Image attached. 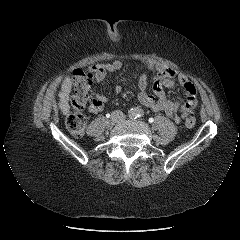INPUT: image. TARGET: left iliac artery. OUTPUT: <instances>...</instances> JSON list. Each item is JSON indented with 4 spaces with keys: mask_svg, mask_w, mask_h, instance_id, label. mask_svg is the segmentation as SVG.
I'll list each match as a JSON object with an SVG mask.
<instances>
[{
    "mask_svg": "<svg viewBox=\"0 0 240 240\" xmlns=\"http://www.w3.org/2000/svg\"><path fill=\"white\" fill-rule=\"evenodd\" d=\"M142 115H144V112L143 111H139L138 116H142Z\"/></svg>",
    "mask_w": 240,
    "mask_h": 240,
    "instance_id": "1",
    "label": "left iliac artery"
}]
</instances>
